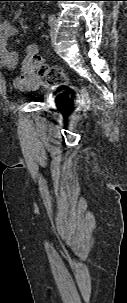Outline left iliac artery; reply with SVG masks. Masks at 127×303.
Masks as SVG:
<instances>
[{
    "label": "left iliac artery",
    "instance_id": "obj_1",
    "mask_svg": "<svg viewBox=\"0 0 127 303\" xmlns=\"http://www.w3.org/2000/svg\"><path fill=\"white\" fill-rule=\"evenodd\" d=\"M48 23L52 27L56 23V16L53 14L49 15Z\"/></svg>",
    "mask_w": 127,
    "mask_h": 303
}]
</instances>
